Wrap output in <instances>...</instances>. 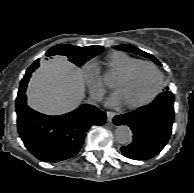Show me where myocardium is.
<instances>
[{"label": "myocardium", "mask_w": 194, "mask_h": 193, "mask_svg": "<svg viewBox=\"0 0 194 193\" xmlns=\"http://www.w3.org/2000/svg\"><path fill=\"white\" fill-rule=\"evenodd\" d=\"M144 65L152 67L155 70V72L157 73V76H158L157 87L148 99H146V100H144L140 103H136V104L124 103L125 106L129 109H137V108H141V107H144L146 105H149L150 103H152L157 98V96L159 95V93L162 90V87H163V73L160 70V68L152 61H140V62L132 65L130 68H128L123 73H121L118 76V78L121 81L127 80L139 67L144 66Z\"/></svg>", "instance_id": "obj_1"}]
</instances>
